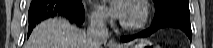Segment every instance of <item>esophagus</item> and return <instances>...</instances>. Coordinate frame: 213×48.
<instances>
[{
  "label": "esophagus",
  "instance_id": "esophagus-1",
  "mask_svg": "<svg viewBox=\"0 0 213 48\" xmlns=\"http://www.w3.org/2000/svg\"><path fill=\"white\" fill-rule=\"evenodd\" d=\"M108 46L110 48H118V45L116 43V41L114 39H111L109 42H108Z\"/></svg>",
  "mask_w": 213,
  "mask_h": 48
}]
</instances>
